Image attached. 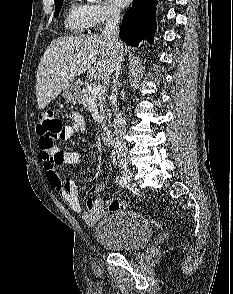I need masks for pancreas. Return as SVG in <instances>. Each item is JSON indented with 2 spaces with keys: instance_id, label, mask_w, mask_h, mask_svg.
Here are the masks:
<instances>
[{
  "instance_id": "1",
  "label": "pancreas",
  "mask_w": 233,
  "mask_h": 294,
  "mask_svg": "<svg viewBox=\"0 0 233 294\" xmlns=\"http://www.w3.org/2000/svg\"><path fill=\"white\" fill-rule=\"evenodd\" d=\"M92 87L90 85H86L85 88L82 90V103L83 104H87L91 99H96L99 100V108L101 110V112H104L103 110V99L104 97L101 95L99 97H94L92 94ZM105 125L103 124V127Z\"/></svg>"
}]
</instances>
